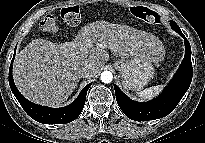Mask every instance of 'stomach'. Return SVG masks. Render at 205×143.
Wrapping results in <instances>:
<instances>
[{
	"label": "stomach",
	"instance_id": "obj_1",
	"mask_svg": "<svg viewBox=\"0 0 205 143\" xmlns=\"http://www.w3.org/2000/svg\"><path fill=\"white\" fill-rule=\"evenodd\" d=\"M158 51L156 56H161ZM155 59L149 55H138L128 59H119L114 67L122 76V85L129 90L143 89L155 76Z\"/></svg>",
	"mask_w": 205,
	"mask_h": 143
}]
</instances>
